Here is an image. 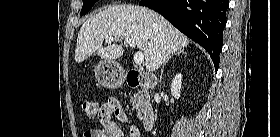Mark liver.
Segmentation results:
<instances>
[{"instance_id": "liver-1", "label": "liver", "mask_w": 280, "mask_h": 137, "mask_svg": "<svg viewBox=\"0 0 280 137\" xmlns=\"http://www.w3.org/2000/svg\"><path fill=\"white\" fill-rule=\"evenodd\" d=\"M108 37L116 43L103 47ZM135 41L144 54L149 72L157 70L170 55L184 49L189 38L173 27L164 17L146 7L135 5L110 6L91 16L80 28L75 61L81 63L93 54L113 61L124 53L123 38Z\"/></svg>"}]
</instances>
